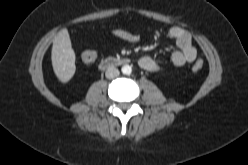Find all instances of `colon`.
<instances>
[{
    "label": "colon",
    "instance_id": "1",
    "mask_svg": "<svg viewBox=\"0 0 248 165\" xmlns=\"http://www.w3.org/2000/svg\"><path fill=\"white\" fill-rule=\"evenodd\" d=\"M97 58V54L93 50H86L82 54V60L86 64H91L93 63ZM203 68V61L201 59H198L195 61V63L192 66V69L194 71H200Z\"/></svg>",
    "mask_w": 248,
    "mask_h": 165
}]
</instances>
